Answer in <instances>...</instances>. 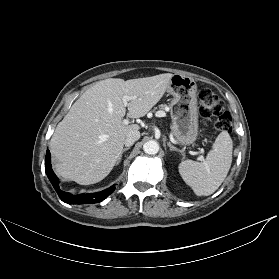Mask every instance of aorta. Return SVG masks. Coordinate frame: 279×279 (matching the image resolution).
Here are the masks:
<instances>
[{
  "instance_id": "obj_1",
  "label": "aorta",
  "mask_w": 279,
  "mask_h": 279,
  "mask_svg": "<svg viewBox=\"0 0 279 279\" xmlns=\"http://www.w3.org/2000/svg\"><path fill=\"white\" fill-rule=\"evenodd\" d=\"M143 150L146 154L154 155L159 151V144L155 140H149L143 145Z\"/></svg>"
}]
</instances>
